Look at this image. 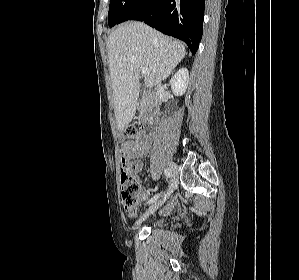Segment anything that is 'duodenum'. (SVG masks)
I'll list each match as a JSON object with an SVG mask.
<instances>
[{
	"mask_svg": "<svg viewBox=\"0 0 299 280\" xmlns=\"http://www.w3.org/2000/svg\"><path fill=\"white\" fill-rule=\"evenodd\" d=\"M142 129L146 133H153L158 124V100L154 93L147 92L142 99Z\"/></svg>",
	"mask_w": 299,
	"mask_h": 280,
	"instance_id": "410a0bca",
	"label": "duodenum"
}]
</instances>
